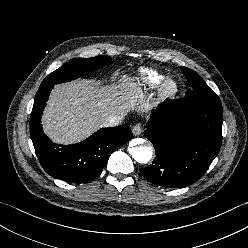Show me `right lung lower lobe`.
<instances>
[{
  "label": "right lung lower lobe",
  "mask_w": 248,
  "mask_h": 248,
  "mask_svg": "<svg viewBox=\"0 0 248 248\" xmlns=\"http://www.w3.org/2000/svg\"><path fill=\"white\" fill-rule=\"evenodd\" d=\"M52 85L40 87L34 101L30 134L44 170L54 178L82 183L93 179L107 163L112 152L132 138L128 125L103 128L73 145L52 143L43 133L41 116Z\"/></svg>",
  "instance_id": "98d812e1"
}]
</instances>
